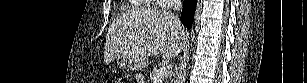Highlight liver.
Returning <instances> with one entry per match:
<instances>
[{"label": "liver", "mask_w": 307, "mask_h": 83, "mask_svg": "<svg viewBox=\"0 0 307 83\" xmlns=\"http://www.w3.org/2000/svg\"><path fill=\"white\" fill-rule=\"evenodd\" d=\"M169 12L137 10L123 14L110 25L104 52L109 63L119 56L146 59L161 54L170 59L188 45V33Z\"/></svg>", "instance_id": "6515ba94"}]
</instances>
